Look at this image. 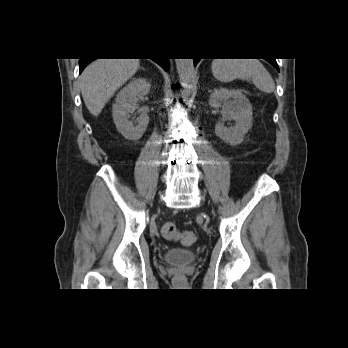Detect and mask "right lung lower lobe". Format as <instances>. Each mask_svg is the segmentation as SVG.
Here are the masks:
<instances>
[{"mask_svg": "<svg viewBox=\"0 0 348 348\" xmlns=\"http://www.w3.org/2000/svg\"><path fill=\"white\" fill-rule=\"evenodd\" d=\"M94 59H88V58H83L79 60V66H80V73L83 71V69ZM155 62H157L163 69L168 71L169 68V62L168 58H161V59H153Z\"/></svg>", "mask_w": 348, "mask_h": 348, "instance_id": "98d812e1", "label": "right lung lower lobe"}]
</instances>
